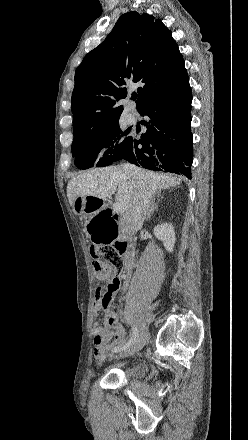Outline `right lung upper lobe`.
<instances>
[{"instance_id":"1","label":"right lung upper lobe","mask_w":248,"mask_h":440,"mask_svg":"<svg viewBox=\"0 0 248 440\" xmlns=\"http://www.w3.org/2000/svg\"><path fill=\"white\" fill-rule=\"evenodd\" d=\"M188 78L172 33L149 14L128 12L75 72L72 94L74 136L119 122L132 83H140L137 109L147 99Z\"/></svg>"}]
</instances>
